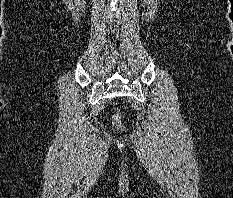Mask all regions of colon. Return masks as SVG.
Here are the masks:
<instances>
[{
    "label": "colon",
    "mask_w": 233,
    "mask_h": 198,
    "mask_svg": "<svg viewBox=\"0 0 233 198\" xmlns=\"http://www.w3.org/2000/svg\"><path fill=\"white\" fill-rule=\"evenodd\" d=\"M122 118H123V115L121 112H117L116 114H114L113 119H112L114 126H116L117 128H121Z\"/></svg>",
    "instance_id": "1"
}]
</instances>
